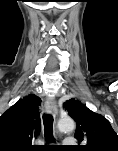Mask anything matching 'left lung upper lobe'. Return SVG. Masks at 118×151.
I'll list each match as a JSON object with an SVG mask.
<instances>
[{
  "instance_id": "left-lung-upper-lobe-1",
  "label": "left lung upper lobe",
  "mask_w": 118,
  "mask_h": 151,
  "mask_svg": "<svg viewBox=\"0 0 118 151\" xmlns=\"http://www.w3.org/2000/svg\"><path fill=\"white\" fill-rule=\"evenodd\" d=\"M64 107L77 124L75 137L83 143L78 150L118 151V136L105 117L74 98L66 101Z\"/></svg>"
}]
</instances>
